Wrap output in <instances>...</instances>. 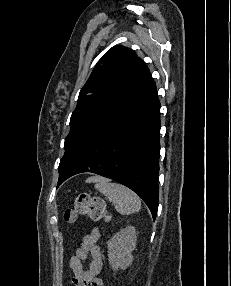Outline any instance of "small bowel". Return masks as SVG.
I'll return each mask as SVG.
<instances>
[{"label":"small bowel","instance_id":"obj_1","mask_svg":"<svg viewBox=\"0 0 231 286\" xmlns=\"http://www.w3.org/2000/svg\"><path fill=\"white\" fill-rule=\"evenodd\" d=\"M100 237L98 228L86 234L82 243L70 259V268L73 272L72 283L75 286H103L100 275L103 269L102 253L97 245ZM90 257L88 268L83 261Z\"/></svg>","mask_w":231,"mask_h":286}]
</instances>
